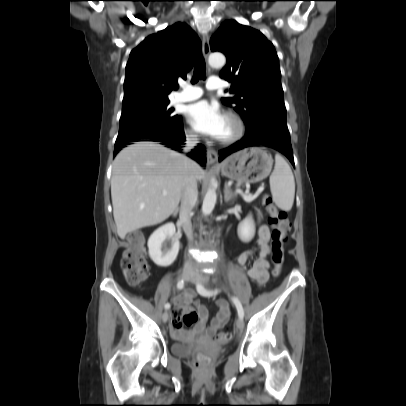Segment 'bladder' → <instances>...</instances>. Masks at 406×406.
Masks as SVG:
<instances>
[{
  "instance_id": "31cf9c89",
  "label": "bladder",
  "mask_w": 406,
  "mask_h": 406,
  "mask_svg": "<svg viewBox=\"0 0 406 406\" xmlns=\"http://www.w3.org/2000/svg\"><path fill=\"white\" fill-rule=\"evenodd\" d=\"M193 344L189 342H176L172 346V353L176 356L187 357L193 351Z\"/></svg>"
}]
</instances>
